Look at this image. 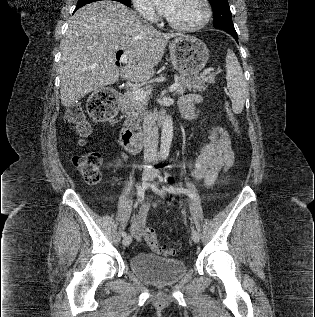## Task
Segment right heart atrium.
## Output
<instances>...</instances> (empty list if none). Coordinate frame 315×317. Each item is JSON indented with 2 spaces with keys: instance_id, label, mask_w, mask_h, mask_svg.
Returning a JSON list of instances; mask_svg holds the SVG:
<instances>
[{
  "instance_id": "right-heart-atrium-1",
  "label": "right heart atrium",
  "mask_w": 315,
  "mask_h": 317,
  "mask_svg": "<svg viewBox=\"0 0 315 317\" xmlns=\"http://www.w3.org/2000/svg\"><path fill=\"white\" fill-rule=\"evenodd\" d=\"M136 11L145 19L154 21L157 19L156 11L150 0H132Z\"/></svg>"
}]
</instances>
